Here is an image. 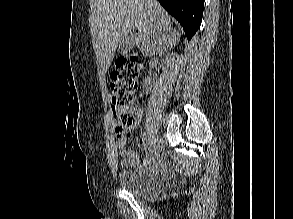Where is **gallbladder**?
<instances>
[{
	"instance_id": "gallbladder-1",
	"label": "gallbladder",
	"mask_w": 293,
	"mask_h": 219,
	"mask_svg": "<svg viewBox=\"0 0 293 219\" xmlns=\"http://www.w3.org/2000/svg\"><path fill=\"white\" fill-rule=\"evenodd\" d=\"M134 47V36L128 35L121 38L118 48L121 54H127Z\"/></svg>"
}]
</instances>
